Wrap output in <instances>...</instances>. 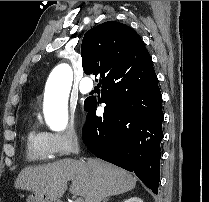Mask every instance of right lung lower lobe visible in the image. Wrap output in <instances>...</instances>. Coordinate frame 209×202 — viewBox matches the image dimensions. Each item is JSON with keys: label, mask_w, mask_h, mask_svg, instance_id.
Instances as JSON below:
<instances>
[{"label": "right lung lower lobe", "mask_w": 209, "mask_h": 202, "mask_svg": "<svg viewBox=\"0 0 209 202\" xmlns=\"http://www.w3.org/2000/svg\"><path fill=\"white\" fill-rule=\"evenodd\" d=\"M146 65V75L131 78L120 87L102 86L101 99L86 98L88 114L82 138L96 157L133 171L157 194L164 114L152 60ZM100 103L106 107L103 116L98 117L96 107Z\"/></svg>", "instance_id": "obj_1"}]
</instances>
